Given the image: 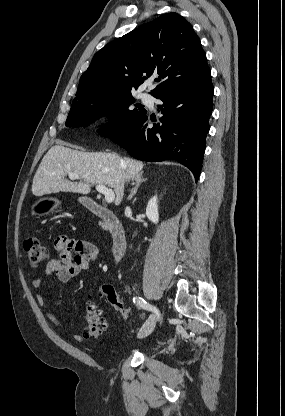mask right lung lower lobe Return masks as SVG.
Instances as JSON below:
<instances>
[{"instance_id":"98d812e1","label":"right lung lower lobe","mask_w":285,"mask_h":416,"mask_svg":"<svg viewBox=\"0 0 285 416\" xmlns=\"http://www.w3.org/2000/svg\"><path fill=\"white\" fill-rule=\"evenodd\" d=\"M211 75L201 81L178 87L160 100L161 123L148 128L147 115L134 125L110 137L136 159H173L188 167L197 182L213 109Z\"/></svg>"}]
</instances>
